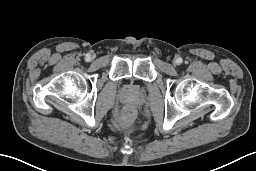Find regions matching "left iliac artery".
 I'll return each instance as SVG.
<instances>
[{
    "label": "left iliac artery",
    "instance_id": "obj_1",
    "mask_svg": "<svg viewBox=\"0 0 256 171\" xmlns=\"http://www.w3.org/2000/svg\"><path fill=\"white\" fill-rule=\"evenodd\" d=\"M181 62H182V59H181V58H179V59H178V63H181Z\"/></svg>",
    "mask_w": 256,
    "mask_h": 171
}]
</instances>
